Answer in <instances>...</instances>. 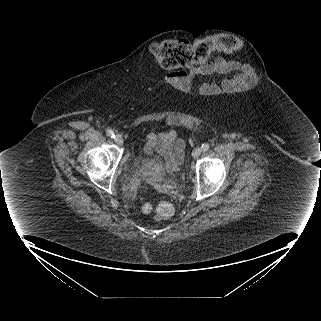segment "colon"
<instances>
[{"instance_id": "5ec220e1", "label": "colon", "mask_w": 321, "mask_h": 321, "mask_svg": "<svg viewBox=\"0 0 321 321\" xmlns=\"http://www.w3.org/2000/svg\"><path fill=\"white\" fill-rule=\"evenodd\" d=\"M239 49L236 37L227 34L215 35L197 42L186 40H165L151 46L155 61L165 69H176L204 63L215 53H231ZM141 210L144 214L155 212L159 219H167L174 213V207L167 201L157 204L145 202Z\"/></svg>"}]
</instances>
